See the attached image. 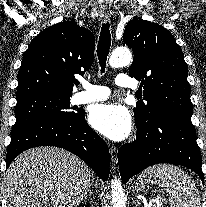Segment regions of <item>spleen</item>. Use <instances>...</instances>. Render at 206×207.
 <instances>
[{"mask_svg": "<svg viewBox=\"0 0 206 207\" xmlns=\"http://www.w3.org/2000/svg\"><path fill=\"white\" fill-rule=\"evenodd\" d=\"M140 177L163 187L171 207H201L200 194L194 181L177 166L156 165L146 169Z\"/></svg>", "mask_w": 206, "mask_h": 207, "instance_id": "spleen-1", "label": "spleen"}]
</instances>
